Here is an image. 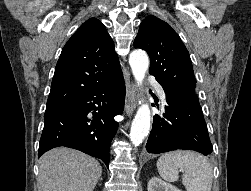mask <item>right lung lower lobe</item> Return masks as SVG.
Segmentation results:
<instances>
[{"label":"right lung lower lobe","mask_w":251,"mask_h":191,"mask_svg":"<svg viewBox=\"0 0 251 191\" xmlns=\"http://www.w3.org/2000/svg\"><path fill=\"white\" fill-rule=\"evenodd\" d=\"M124 100L121 73L64 106L46 110L39 157L53 147L66 146L100 158L108 167L110 143L118 128L114 116L122 113Z\"/></svg>","instance_id":"98d812e1"}]
</instances>
